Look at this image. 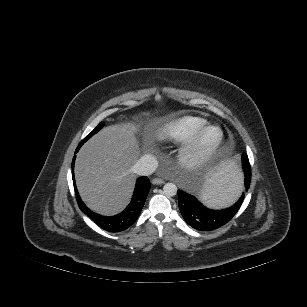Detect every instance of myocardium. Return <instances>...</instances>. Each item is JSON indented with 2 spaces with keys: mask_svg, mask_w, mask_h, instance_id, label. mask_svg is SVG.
<instances>
[{
  "mask_svg": "<svg viewBox=\"0 0 307 307\" xmlns=\"http://www.w3.org/2000/svg\"><path fill=\"white\" fill-rule=\"evenodd\" d=\"M209 132H214L215 137L205 143ZM223 140V133L217 126L206 125L192 135L180 148L178 160L188 170H197L207 164L217 152Z\"/></svg>",
  "mask_w": 307,
  "mask_h": 307,
  "instance_id": "obj_1",
  "label": "myocardium"
}]
</instances>
